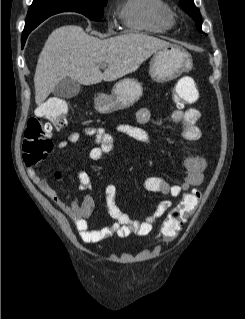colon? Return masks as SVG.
Instances as JSON below:
<instances>
[{"mask_svg":"<svg viewBox=\"0 0 245 319\" xmlns=\"http://www.w3.org/2000/svg\"><path fill=\"white\" fill-rule=\"evenodd\" d=\"M196 89L185 93L182 89L175 90V100L179 107L192 103ZM68 103L62 98H55L42 103L38 115L29 118L24 130L22 144L23 162L27 167H35L44 163L52 152V133L66 124ZM46 119L44 122L42 119ZM199 190L187 193L180 203L174 207L163 222L160 238L164 241L174 239L188 217L195 211L201 201Z\"/></svg>","mask_w":245,"mask_h":319,"instance_id":"1","label":"colon"}]
</instances>
